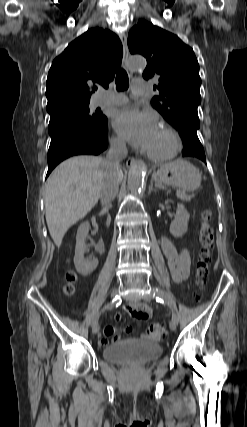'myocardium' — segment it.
I'll return each mask as SVG.
<instances>
[{
	"instance_id": "myocardium-1",
	"label": "myocardium",
	"mask_w": 247,
	"mask_h": 427,
	"mask_svg": "<svg viewBox=\"0 0 247 427\" xmlns=\"http://www.w3.org/2000/svg\"><path fill=\"white\" fill-rule=\"evenodd\" d=\"M159 128L165 131L170 137L171 144L169 148L163 152H153L150 150H145V154L153 161L164 162L172 159L177 155L181 147V141L177 131L172 126L168 124H161Z\"/></svg>"
}]
</instances>
